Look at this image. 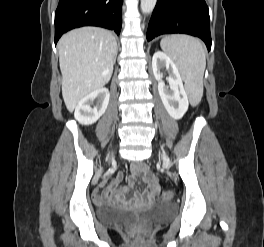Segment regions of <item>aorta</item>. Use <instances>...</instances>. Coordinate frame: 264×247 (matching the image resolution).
I'll return each instance as SVG.
<instances>
[{
	"mask_svg": "<svg viewBox=\"0 0 264 247\" xmlns=\"http://www.w3.org/2000/svg\"><path fill=\"white\" fill-rule=\"evenodd\" d=\"M157 0H141V12L143 14H150L155 5H156Z\"/></svg>",
	"mask_w": 264,
	"mask_h": 247,
	"instance_id": "762f6f07",
	"label": "aorta"
}]
</instances>
